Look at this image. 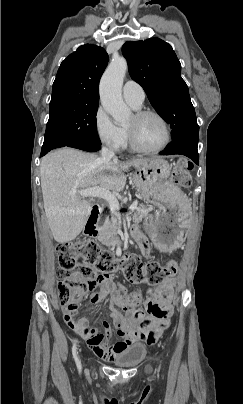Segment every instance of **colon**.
Segmentation results:
<instances>
[{"label": "colon", "instance_id": "obj_1", "mask_svg": "<svg viewBox=\"0 0 243 404\" xmlns=\"http://www.w3.org/2000/svg\"><path fill=\"white\" fill-rule=\"evenodd\" d=\"M191 164L179 161L173 171L175 183L183 188L191 185ZM59 257V301L70 313H75L79 300L91 290L99 278L119 271L131 283L160 284L176 274L174 261L161 265L156 261L147 263L137 255L116 259L108 250L93 240L61 242L56 245ZM140 301L137 293L128 294L122 304L125 310L134 309Z\"/></svg>", "mask_w": 243, "mask_h": 404}]
</instances>
